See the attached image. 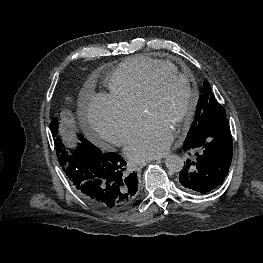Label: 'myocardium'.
<instances>
[{
  "mask_svg": "<svg viewBox=\"0 0 263 263\" xmlns=\"http://www.w3.org/2000/svg\"><path fill=\"white\" fill-rule=\"evenodd\" d=\"M166 78H176L183 81L189 92V104L184 114L179 118L175 131L180 132L193 118L197 109L199 94L190 78L177 70H156L148 82L140 100L139 108L144 113L148 103L155 96L159 83Z\"/></svg>",
  "mask_w": 263,
  "mask_h": 263,
  "instance_id": "1",
  "label": "myocardium"
}]
</instances>
